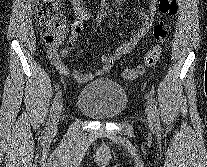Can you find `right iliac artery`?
Listing matches in <instances>:
<instances>
[{
  "mask_svg": "<svg viewBox=\"0 0 207 167\" xmlns=\"http://www.w3.org/2000/svg\"><path fill=\"white\" fill-rule=\"evenodd\" d=\"M61 95H62V92L60 90L56 93V95L54 97L53 104H52V107H51V110H50L49 121L46 124V132H49V130H50V117L52 116V113L55 111V109L57 107V104H58V102L61 98Z\"/></svg>",
  "mask_w": 207,
  "mask_h": 167,
  "instance_id": "right-iliac-artery-1",
  "label": "right iliac artery"
}]
</instances>
